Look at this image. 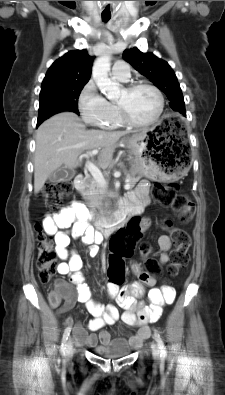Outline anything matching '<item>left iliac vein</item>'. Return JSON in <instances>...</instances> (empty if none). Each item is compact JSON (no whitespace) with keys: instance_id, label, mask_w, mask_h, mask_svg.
<instances>
[{"instance_id":"left-iliac-vein-1","label":"left iliac vein","mask_w":225,"mask_h":395,"mask_svg":"<svg viewBox=\"0 0 225 395\" xmlns=\"http://www.w3.org/2000/svg\"><path fill=\"white\" fill-rule=\"evenodd\" d=\"M152 351H153V356L155 358H158L159 357V349H158L157 345L154 343L152 344Z\"/></svg>"}]
</instances>
